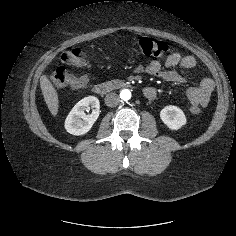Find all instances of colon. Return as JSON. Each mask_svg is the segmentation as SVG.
<instances>
[{
	"label": "colon",
	"instance_id": "5ec220e1",
	"mask_svg": "<svg viewBox=\"0 0 236 236\" xmlns=\"http://www.w3.org/2000/svg\"><path fill=\"white\" fill-rule=\"evenodd\" d=\"M133 45L143 54L153 57H163L169 52V47L166 43L148 37L135 38ZM61 60L72 66H88L85 54L78 48L64 52ZM49 79L55 88H80L87 83L88 74L84 72L80 75H74L64 68H57L50 74ZM190 110L193 114H198L201 108L194 105Z\"/></svg>",
	"mask_w": 236,
	"mask_h": 236
}]
</instances>
